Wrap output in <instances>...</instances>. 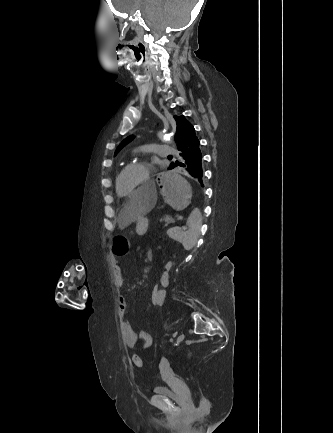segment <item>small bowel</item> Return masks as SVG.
<instances>
[{"label": "small bowel", "instance_id": "obj_1", "mask_svg": "<svg viewBox=\"0 0 333 433\" xmlns=\"http://www.w3.org/2000/svg\"><path fill=\"white\" fill-rule=\"evenodd\" d=\"M113 252V250H112ZM153 253L151 250L147 252V257L151 259ZM115 270V279L118 287H122L123 284V270L121 266L116 262L114 265ZM163 272H166V275H163ZM170 282V275L165 269L161 272L159 276V281L157 286L159 287L156 291L160 293V302H165L166 299V288L168 287ZM154 290V289H153ZM152 290V291H153ZM127 310V300L124 296L119 297V311L123 316ZM120 331L123 339V343L128 348H135L138 345H142L143 348L147 349L152 345L153 339L150 333L147 331L136 332L129 322L122 320L120 322Z\"/></svg>", "mask_w": 333, "mask_h": 433}]
</instances>
